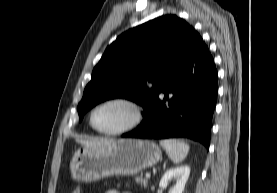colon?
<instances>
[{"mask_svg":"<svg viewBox=\"0 0 277 193\" xmlns=\"http://www.w3.org/2000/svg\"><path fill=\"white\" fill-rule=\"evenodd\" d=\"M71 193H81V189L77 187Z\"/></svg>","mask_w":277,"mask_h":193,"instance_id":"1","label":"colon"}]
</instances>
